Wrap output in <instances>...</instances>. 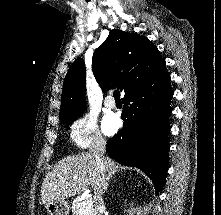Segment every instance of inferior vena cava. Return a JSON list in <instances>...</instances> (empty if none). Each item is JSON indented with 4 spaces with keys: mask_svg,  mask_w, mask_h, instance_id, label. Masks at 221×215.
I'll list each match as a JSON object with an SVG mask.
<instances>
[{
    "mask_svg": "<svg viewBox=\"0 0 221 215\" xmlns=\"http://www.w3.org/2000/svg\"><path fill=\"white\" fill-rule=\"evenodd\" d=\"M90 151L94 155L98 167V177L94 186V194L95 202L97 204L98 209L100 210L98 215H101V213L104 210L103 191L105 190L107 180L105 169L106 158L104 157V154L106 152L105 142L101 139L94 140V142L91 145Z\"/></svg>",
    "mask_w": 221,
    "mask_h": 215,
    "instance_id": "1",
    "label": "inferior vena cava"
}]
</instances>
